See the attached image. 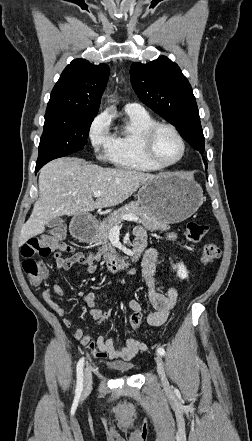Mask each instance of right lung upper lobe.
Here are the masks:
<instances>
[{
	"label": "right lung upper lobe",
	"instance_id": "1",
	"mask_svg": "<svg viewBox=\"0 0 252 441\" xmlns=\"http://www.w3.org/2000/svg\"><path fill=\"white\" fill-rule=\"evenodd\" d=\"M108 77L109 67L103 63L93 65L84 59L73 60L55 84L46 112L97 114Z\"/></svg>",
	"mask_w": 252,
	"mask_h": 441
}]
</instances>
